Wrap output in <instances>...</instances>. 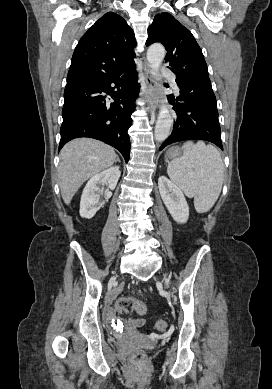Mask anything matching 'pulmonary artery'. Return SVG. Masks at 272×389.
I'll use <instances>...</instances> for the list:
<instances>
[{
    "label": "pulmonary artery",
    "mask_w": 272,
    "mask_h": 389,
    "mask_svg": "<svg viewBox=\"0 0 272 389\" xmlns=\"http://www.w3.org/2000/svg\"><path fill=\"white\" fill-rule=\"evenodd\" d=\"M161 72H162V74H163L164 76H166V77L169 79V81L171 82L173 88H174L176 91H178V86H177L176 81H175V79H176L175 74H174L171 70H169L168 68H166V67H162V68H161Z\"/></svg>",
    "instance_id": "pulmonary-artery-1"
}]
</instances>
